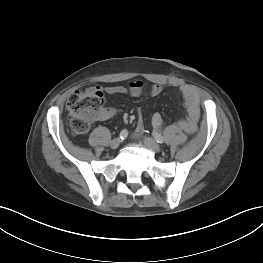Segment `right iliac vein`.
<instances>
[{
	"label": "right iliac vein",
	"instance_id": "obj_1",
	"mask_svg": "<svg viewBox=\"0 0 263 263\" xmlns=\"http://www.w3.org/2000/svg\"><path fill=\"white\" fill-rule=\"evenodd\" d=\"M120 143H121L120 138H115V139H113V140L111 141L110 147H111L112 149H117V148L119 147Z\"/></svg>",
	"mask_w": 263,
	"mask_h": 263
}]
</instances>
